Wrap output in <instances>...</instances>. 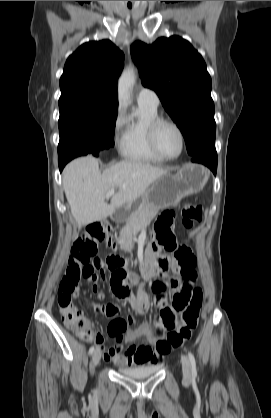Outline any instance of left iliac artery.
<instances>
[{
	"label": "left iliac artery",
	"mask_w": 271,
	"mask_h": 418,
	"mask_svg": "<svg viewBox=\"0 0 271 418\" xmlns=\"http://www.w3.org/2000/svg\"><path fill=\"white\" fill-rule=\"evenodd\" d=\"M188 357L191 363V372H192V376L196 377L197 375V370H196V361L194 358V355L191 352H188Z\"/></svg>",
	"instance_id": "1"
}]
</instances>
